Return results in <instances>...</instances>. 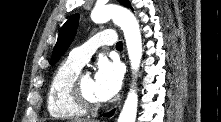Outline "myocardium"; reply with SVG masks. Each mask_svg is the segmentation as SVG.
I'll use <instances>...</instances> for the list:
<instances>
[{"instance_id": "f54148a6", "label": "myocardium", "mask_w": 221, "mask_h": 122, "mask_svg": "<svg viewBox=\"0 0 221 122\" xmlns=\"http://www.w3.org/2000/svg\"><path fill=\"white\" fill-rule=\"evenodd\" d=\"M83 74L79 73L71 84V95L74 101L86 111H96L102 107L101 102H95L88 98L82 88Z\"/></svg>"}]
</instances>
